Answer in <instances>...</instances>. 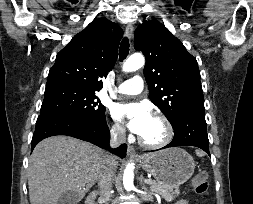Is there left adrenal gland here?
I'll list each match as a JSON object with an SVG mask.
<instances>
[{
  "instance_id": "1",
  "label": "left adrenal gland",
  "mask_w": 253,
  "mask_h": 204,
  "mask_svg": "<svg viewBox=\"0 0 253 204\" xmlns=\"http://www.w3.org/2000/svg\"><path fill=\"white\" fill-rule=\"evenodd\" d=\"M143 180H144V177H143V174H141L139 178L140 185L142 186V189L147 190L146 186L143 183Z\"/></svg>"
}]
</instances>
